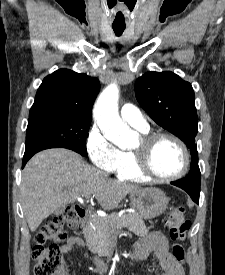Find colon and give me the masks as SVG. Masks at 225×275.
I'll use <instances>...</instances> for the list:
<instances>
[{
  "mask_svg": "<svg viewBox=\"0 0 225 275\" xmlns=\"http://www.w3.org/2000/svg\"><path fill=\"white\" fill-rule=\"evenodd\" d=\"M81 219V209L77 206L69 207L62 215L49 220L35 236L33 246L34 275H66L64 270L63 253L59 246L51 245L46 247L45 243L54 241L60 243L68 238L64 225L69 228H76ZM169 227L170 237L175 241L172 254L176 260H185V248L183 241L186 239L191 223L184 216L182 206L174 207L166 218Z\"/></svg>",
  "mask_w": 225,
  "mask_h": 275,
  "instance_id": "1",
  "label": "colon"
}]
</instances>
